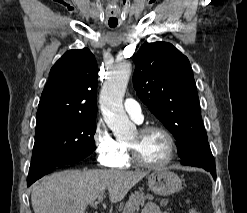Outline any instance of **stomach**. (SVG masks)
I'll return each mask as SVG.
<instances>
[{
	"label": "stomach",
	"instance_id": "obj_1",
	"mask_svg": "<svg viewBox=\"0 0 247 213\" xmlns=\"http://www.w3.org/2000/svg\"><path fill=\"white\" fill-rule=\"evenodd\" d=\"M148 186L157 195L170 196L182 188V182L174 172L160 169L148 176Z\"/></svg>",
	"mask_w": 247,
	"mask_h": 213
}]
</instances>
